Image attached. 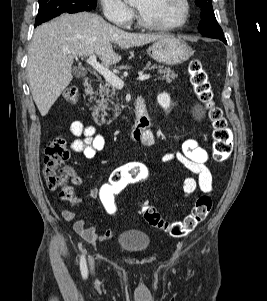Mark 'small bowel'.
Returning a JSON list of instances; mask_svg holds the SVG:
<instances>
[{
    "mask_svg": "<svg viewBox=\"0 0 267 301\" xmlns=\"http://www.w3.org/2000/svg\"><path fill=\"white\" fill-rule=\"evenodd\" d=\"M69 132L75 137L70 143L71 150L83 154L86 158H93L105 147L104 136L98 133L92 125L75 120L70 123ZM141 142L145 147L152 148L156 143L154 133L151 130L145 131ZM162 161L165 163L178 162L190 173L196 175V178L188 176L183 179L182 189L186 197L191 196L197 189L204 193L212 191L213 178L207 166L209 154L206 149L199 145L196 139H188L179 150L165 153L162 156ZM69 172L72 183L80 185L81 178L73 170H69ZM86 197L93 200L97 199L98 188H92L86 194ZM82 198L79 196L74 199L75 206L81 203ZM62 216L66 222L72 224L74 231L88 243H96L114 236L111 229H104L99 232L86 220L77 219L75 211L64 210Z\"/></svg>",
    "mask_w": 267,
    "mask_h": 301,
    "instance_id": "small-bowel-1",
    "label": "small bowel"
}]
</instances>
